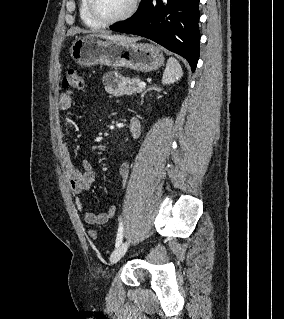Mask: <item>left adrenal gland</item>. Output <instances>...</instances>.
Returning a JSON list of instances; mask_svg holds the SVG:
<instances>
[{
	"label": "left adrenal gland",
	"instance_id": "obj_1",
	"mask_svg": "<svg viewBox=\"0 0 284 319\" xmlns=\"http://www.w3.org/2000/svg\"><path fill=\"white\" fill-rule=\"evenodd\" d=\"M151 90H158V87L156 85H152V86H149L146 90H144V92L141 94V104L143 103L145 94Z\"/></svg>",
	"mask_w": 284,
	"mask_h": 319
}]
</instances>
